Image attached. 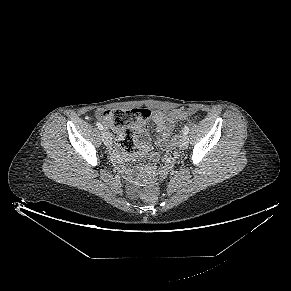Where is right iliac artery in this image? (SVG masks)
Listing matches in <instances>:
<instances>
[{"label": "right iliac artery", "instance_id": "82829eb1", "mask_svg": "<svg viewBox=\"0 0 291 291\" xmlns=\"http://www.w3.org/2000/svg\"><path fill=\"white\" fill-rule=\"evenodd\" d=\"M96 126L98 127L99 130H103L104 129L103 125L101 123H99V122L96 123Z\"/></svg>", "mask_w": 291, "mask_h": 291}]
</instances>
